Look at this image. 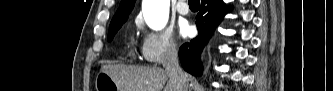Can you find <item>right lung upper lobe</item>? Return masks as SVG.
<instances>
[{
  "mask_svg": "<svg viewBox=\"0 0 333 91\" xmlns=\"http://www.w3.org/2000/svg\"><path fill=\"white\" fill-rule=\"evenodd\" d=\"M135 0H121L120 6L113 16L112 21L118 20L121 18H128V15L134 7Z\"/></svg>",
  "mask_w": 333,
  "mask_h": 91,
  "instance_id": "right-lung-upper-lobe-1",
  "label": "right lung upper lobe"
}]
</instances>
